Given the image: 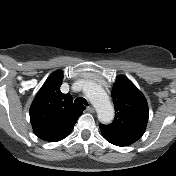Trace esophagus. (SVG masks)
Instances as JSON below:
<instances>
[{
  "label": "esophagus",
  "mask_w": 176,
  "mask_h": 176,
  "mask_svg": "<svg viewBox=\"0 0 176 176\" xmlns=\"http://www.w3.org/2000/svg\"><path fill=\"white\" fill-rule=\"evenodd\" d=\"M86 110L89 112V113H94L95 112V109L92 107V106H88L86 108Z\"/></svg>",
  "instance_id": "esophagus-1"
}]
</instances>
